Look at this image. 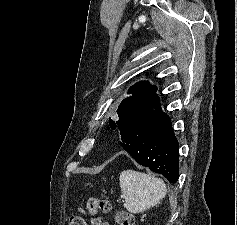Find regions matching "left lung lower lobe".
I'll list each match as a JSON object with an SVG mask.
<instances>
[{
	"mask_svg": "<svg viewBox=\"0 0 237 225\" xmlns=\"http://www.w3.org/2000/svg\"><path fill=\"white\" fill-rule=\"evenodd\" d=\"M117 129L121 146L139 164L175 183L179 175L178 141L170 117L159 103L138 107L124 115Z\"/></svg>",
	"mask_w": 237,
	"mask_h": 225,
	"instance_id": "1",
	"label": "left lung lower lobe"
}]
</instances>
